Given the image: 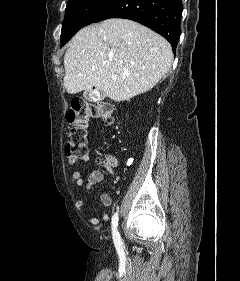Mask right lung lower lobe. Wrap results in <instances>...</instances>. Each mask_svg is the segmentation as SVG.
<instances>
[{
	"instance_id": "obj_1",
	"label": "right lung lower lobe",
	"mask_w": 240,
	"mask_h": 281,
	"mask_svg": "<svg viewBox=\"0 0 240 281\" xmlns=\"http://www.w3.org/2000/svg\"><path fill=\"white\" fill-rule=\"evenodd\" d=\"M181 13V0H116L93 23L109 18L136 21L162 35L175 51Z\"/></svg>"
}]
</instances>
